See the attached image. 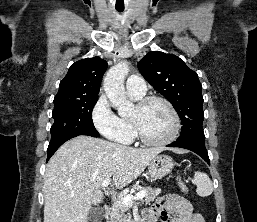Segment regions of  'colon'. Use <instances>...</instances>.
Segmentation results:
<instances>
[{"instance_id": "5ec220e1", "label": "colon", "mask_w": 257, "mask_h": 222, "mask_svg": "<svg viewBox=\"0 0 257 222\" xmlns=\"http://www.w3.org/2000/svg\"><path fill=\"white\" fill-rule=\"evenodd\" d=\"M177 184H178L179 189L182 192H184V193L187 192V190H188L187 185H186V183L181 178L177 179Z\"/></svg>"}]
</instances>
